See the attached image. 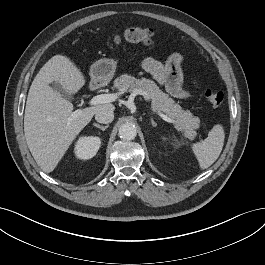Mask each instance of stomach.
<instances>
[{
    "label": "stomach",
    "instance_id": "1",
    "mask_svg": "<svg viewBox=\"0 0 265 265\" xmlns=\"http://www.w3.org/2000/svg\"><path fill=\"white\" fill-rule=\"evenodd\" d=\"M117 67V60L100 59L94 62L90 67L91 81L98 86L107 84L113 77Z\"/></svg>",
    "mask_w": 265,
    "mask_h": 265
}]
</instances>
